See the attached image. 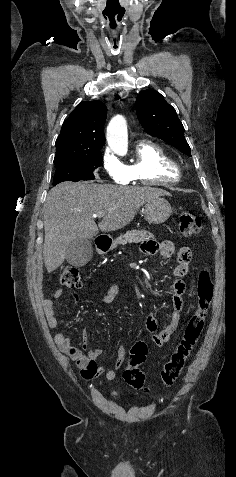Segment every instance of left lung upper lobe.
Here are the masks:
<instances>
[{
  "label": "left lung upper lobe",
  "mask_w": 236,
  "mask_h": 477,
  "mask_svg": "<svg viewBox=\"0 0 236 477\" xmlns=\"http://www.w3.org/2000/svg\"><path fill=\"white\" fill-rule=\"evenodd\" d=\"M136 112L145 131L191 156L190 147L184 137V127L175 109L164 97L154 90L139 93Z\"/></svg>",
  "instance_id": "1"
}]
</instances>
